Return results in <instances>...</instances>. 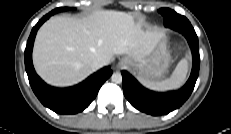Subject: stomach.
Masks as SVG:
<instances>
[{"label":"stomach","mask_w":231,"mask_h":134,"mask_svg":"<svg viewBox=\"0 0 231 134\" xmlns=\"http://www.w3.org/2000/svg\"><path fill=\"white\" fill-rule=\"evenodd\" d=\"M171 62L172 59L167 47L166 36L146 56L137 59L131 57L124 59L126 68L141 81L160 79L168 71Z\"/></svg>","instance_id":"0dacf381"}]
</instances>
